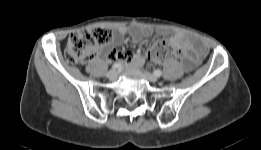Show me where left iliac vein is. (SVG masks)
<instances>
[{
	"mask_svg": "<svg viewBox=\"0 0 261 150\" xmlns=\"http://www.w3.org/2000/svg\"><path fill=\"white\" fill-rule=\"evenodd\" d=\"M145 76L146 78L150 81V82H157L158 81V78L157 76L153 75V74H150L149 72H145Z\"/></svg>",
	"mask_w": 261,
	"mask_h": 150,
	"instance_id": "left-iliac-vein-1",
	"label": "left iliac vein"
}]
</instances>
